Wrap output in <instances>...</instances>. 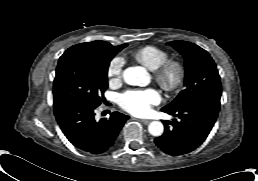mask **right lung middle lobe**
<instances>
[{"label":"right lung middle lobe","mask_w":258,"mask_h":181,"mask_svg":"<svg viewBox=\"0 0 258 181\" xmlns=\"http://www.w3.org/2000/svg\"><path fill=\"white\" fill-rule=\"evenodd\" d=\"M127 44L113 53L97 54L70 47L60 57L53 84L54 105L75 102L98 107L108 87L107 73L111 59Z\"/></svg>","instance_id":"1"}]
</instances>
